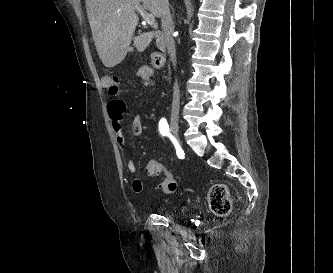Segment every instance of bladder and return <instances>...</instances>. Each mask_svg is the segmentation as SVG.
I'll use <instances>...</instances> for the list:
<instances>
[{
	"instance_id": "obj_1",
	"label": "bladder",
	"mask_w": 333,
	"mask_h": 273,
	"mask_svg": "<svg viewBox=\"0 0 333 273\" xmlns=\"http://www.w3.org/2000/svg\"><path fill=\"white\" fill-rule=\"evenodd\" d=\"M179 210L181 213H184L186 211V207L184 205H182ZM170 217L173 218L174 216L171 215Z\"/></svg>"
}]
</instances>
